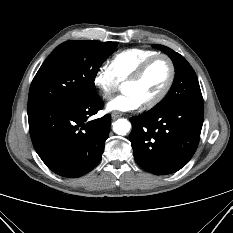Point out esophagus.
Here are the masks:
<instances>
[{
  "label": "esophagus",
  "mask_w": 233,
  "mask_h": 233,
  "mask_svg": "<svg viewBox=\"0 0 233 233\" xmlns=\"http://www.w3.org/2000/svg\"><path fill=\"white\" fill-rule=\"evenodd\" d=\"M121 116H122V113L118 112V111H114L111 113L112 119H116V118L121 117Z\"/></svg>",
  "instance_id": "esophagus-1"
}]
</instances>
